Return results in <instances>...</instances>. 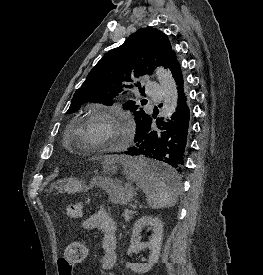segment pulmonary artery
<instances>
[{"mask_svg":"<svg viewBox=\"0 0 263 275\" xmlns=\"http://www.w3.org/2000/svg\"><path fill=\"white\" fill-rule=\"evenodd\" d=\"M146 92L150 98L159 101L162 98V90L160 86L155 82H149L146 85Z\"/></svg>","mask_w":263,"mask_h":275,"instance_id":"1","label":"pulmonary artery"}]
</instances>
